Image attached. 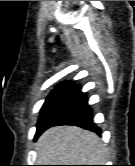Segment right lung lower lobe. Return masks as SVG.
<instances>
[{
	"instance_id": "obj_1",
	"label": "right lung lower lobe",
	"mask_w": 135,
	"mask_h": 166,
	"mask_svg": "<svg viewBox=\"0 0 135 166\" xmlns=\"http://www.w3.org/2000/svg\"><path fill=\"white\" fill-rule=\"evenodd\" d=\"M69 90L71 91L73 98L67 110L54 122L37 132L35 138L49 127L57 125L79 126L100 134L99 127H97L92 120V111L87 103L86 95L80 92L79 86L77 85L69 86Z\"/></svg>"
}]
</instances>
